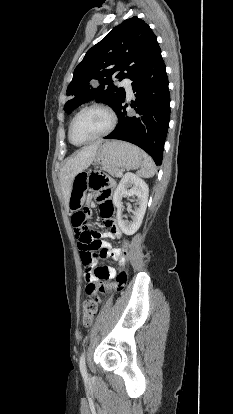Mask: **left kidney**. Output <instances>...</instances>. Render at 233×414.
I'll list each match as a JSON object with an SVG mask.
<instances>
[{"mask_svg": "<svg viewBox=\"0 0 233 414\" xmlns=\"http://www.w3.org/2000/svg\"><path fill=\"white\" fill-rule=\"evenodd\" d=\"M128 187H131L128 189ZM149 188L144 180L133 173H126L117 186L113 203L117 207V221L120 229L126 235H133L141 226L147 208ZM123 196H136L139 207L131 210L133 213L132 221L125 222L122 218V198Z\"/></svg>", "mask_w": 233, "mask_h": 414, "instance_id": "5707ae66", "label": "left kidney"}]
</instances>
